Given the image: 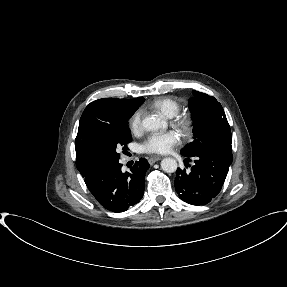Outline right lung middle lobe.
<instances>
[{"label": "right lung middle lobe", "mask_w": 287, "mask_h": 287, "mask_svg": "<svg viewBox=\"0 0 287 287\" xmlns=\"http://www.w3.org/2000/svg\"><path fill=\"white\" fill-rule=\"evenodd\" d=\"M129 118L109 123L93 136L92 155L95 164L120 159L119 148L123 146L125 150L132 140L128 127Z\"/></svg>", "instance_id": "1"}]
</instances>
